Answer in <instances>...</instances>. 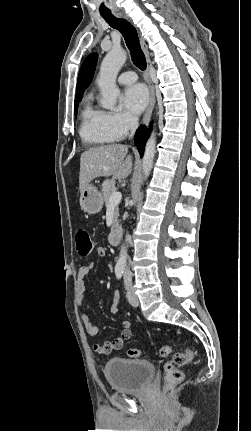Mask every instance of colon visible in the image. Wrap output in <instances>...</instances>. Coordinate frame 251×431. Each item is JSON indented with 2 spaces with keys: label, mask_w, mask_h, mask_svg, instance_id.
Returning a JSON list of instances; mask_svg holds the SVG:
<instances>
[{
  "label": "colon",
  "mask_w": 251,
  "mask_h": 431,
  "mask_svg": "<svg viewBox=\"0 0 251 431\" xmlns=\"http://www.w3.org/2000/svg\"><path fill=\"white\" fill-rule=\"evenodd\" d=\"M76 249L80 256L88 257L93 249L94 244L90 233L85 228H78L75 233ZM171 353V347L169 345H163L160 348V354L162 356H168ZM127 355L132 358L139 357L141 355L140 349H129ZM194 358V352L186 347L182 352L175 353L172 359L164 367V383H165V395H169L173 388L182 382L184 373L182 367L190 363Z\"/></svg>",
  "instance_id": "colon-1"
}]
</instances>
